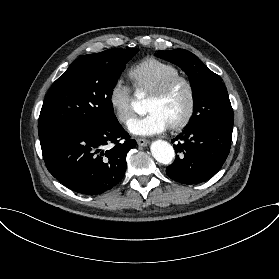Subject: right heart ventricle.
Here are the masks:
<instances>
[{
  "label": "right heart ventricle",
  "mask_w": 279,
  "mask_h": 279,
  "mask_svg": "<svg viewBox=\"0 0 279 279\" xmlns=\"http://www.w3.org/2000/svg\"><path fill=\"white\" fill-rule=\"evenodd\" d=\"M129 75L135 88L151 94L167 79L181 75V70L172 63L147 58L135 65Z\"/></svg>",
  "instance_id": "e07e8e85"
}]
</instances>
